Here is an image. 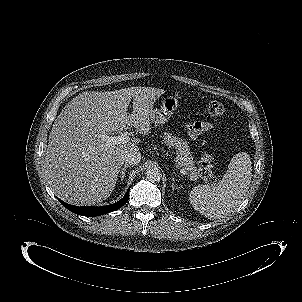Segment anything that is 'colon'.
I'll use <instances>...</instances> for the list:
<instances>
[{"label": "colon", "mask_w": 302, "mask_h": 302, "mask_svg": "<svg viewBox=\"0 0 302 302\" xmlns=\"http://www.w3.org/2000/svg\"><path fill=\"white\" fill-rule=\"evenodd\" d=\"M208 112L212 116H222L225 113V107L221 102L212 101L208 105ZM213 155L206 152L202 155L199 162V174L208 183L215 182V176L213 174Z\"/></svg>", "instance_id": "5ec220e1"}]
</instances>
